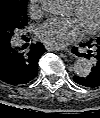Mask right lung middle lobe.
I'll return each instance as SVG.
<instances>
[{"instance_id": "dd1d6c3e", "label": "right lung middle lobe", "mask_w": 100, "mask_h": 118, "mask_svg": "<svg viewBox=\"0 0 100 118\" xmlns=\"http://www.w3.org/2000/svg\"><path fill=\"white\" fill-rule=\"evenodd\" d=\"M28 0H0V44L9 43L14 32L27 25Z\"/></svg>"}]
</instances>
